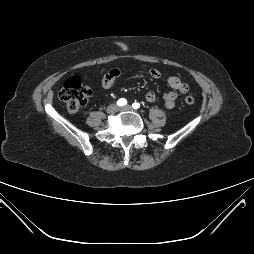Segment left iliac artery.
<instances>
[{
  "label": "left iliac artery",
  "instance_id": "obj_1",
  "mask_svg": "<svg viewBox=\"0 0 254 254\" xmlns=\"http://www.w3.org/2000/svg\"><path fill=\"white\" fill-rule=\"evenodd\" d=\"M132 107H133L134 109H138V108H140V104H139L138 102H134V103L132 104Z\"/></svg>",
  "mask_w": 254,
  "mask_h": 254
}]
</instances>
